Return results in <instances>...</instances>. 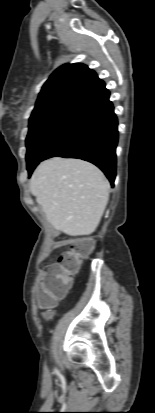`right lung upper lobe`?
Here are the masks:
<instances>
[{
  "label": "right lung upper lobe",
  "instance_id": "obj_1",
  "mask_svg": "<svg viewBox=\"0 0 155 413\" xmlns=\"http://www.w3.org/2000/svg\"><path fill=\"white\" fill-rule=\"evenodd\" d=\"M105 88L96 73L81 63L65 64L43 85L30 121L67 105H79Z\"/></svg>",
  "mask_w": 155,
  "mask_h": 413
}]
</instances>
